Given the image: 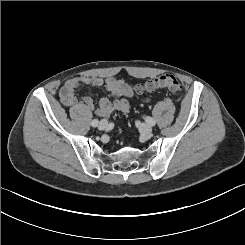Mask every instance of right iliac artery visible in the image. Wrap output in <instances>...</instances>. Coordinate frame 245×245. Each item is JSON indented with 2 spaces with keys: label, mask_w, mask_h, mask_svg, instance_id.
<instances>
[{
  "label": "right iliac artery",
  "mask_w": 245,
  "mask_h": 245,
  "mask_svg": "<svg viewBox=\"0 0 245 245\" xmlns=\"http://www.w3.org/2000/svg\"><path fill=\"white\" fill-rule=\"evenodd\" d=\"M98 124H99L98 119H94V120H92V122H91V125H92L93 127H97Z\"/></svg>",
  "instance_id": "right-iliac-artery-1"
}]
</instances>
